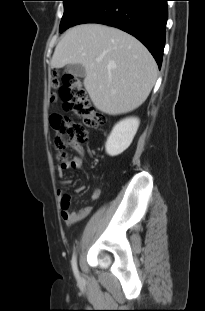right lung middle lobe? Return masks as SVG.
<instances>
[{
    "mask_svg": "<svg viewBox=\"0 0 205 311\" xmlns=\"http://www.w3.org/2000/svg\"><path fill=\"white\" fill-rule=\"evenodd\" d=\"M64 2V14L60 23L62 33L79 18L91 0H62Z\"/></svg>",
    "mask_w": 205,
    "mask_h": 311,
    "instance_id": "right-lung-middle-lobe-1",
    "label": "right lung middle lobe"
}]
</instances>
